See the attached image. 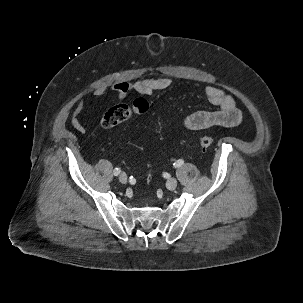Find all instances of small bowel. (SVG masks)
<instances>
[{
  "label": "small bowel",
  "mask_w": 303,
  "mask_h": 303,
  "mask_svg": "<svg viewBox=\"0 0 303 303\" xmlns=\"http://www.w3.org/2000/svg\"><path fill=\"white\" fill-rule=\"evenodd\" d=\"M172 81L168 77H156L140 79L133 82H116L111 90L117 98L123 99L130 92H137L144 95H153L156 92L168 89ZM203 94L208 101L215 106L214 110H201L194 112L183 120V126L192 131L202 130L214 126L236 127L242 122V115L236 107L235 99L232 95L225 93L220 88L206 86L202 89ZM106 89L99 88L95 95L100 97L105 95ZM85 109V101L80 100L75 106L70 120L71 126L78 132H86L85 125L81 122L79 116Z\"/></svg>",
  "instance_id": "obj_1"
}]
</instances>
